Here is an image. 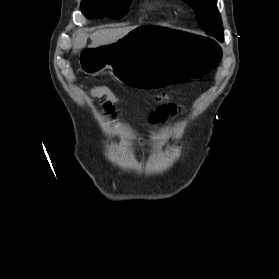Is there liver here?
Returning <instances> with one entry per match:
<instances>
[{
	"label": "liver",
	"mask_w": 279,
	"mask_h": 279,
	"mask_svg": "<svg viewBox=\"0 0 279 279\" xmlns=\"http://www.w3.org/2000/svg\"><path fill=\"white\" fill-rule=\"evenodd\" d=\"M136 27H124V28H112V29H102L94 32L90 35L92 41L90 47L97 48L100 46L111 45L116 43L126 34L134 30ZM88 35L85 33H78L73 41V52L84 48L87 43Z\"/></svg>",
	"instance_id": "obj_1"
}]
</instances>
